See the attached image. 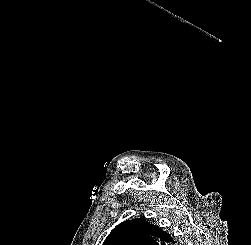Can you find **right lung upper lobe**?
Instances as JSON below:
<instances>
[{"label": "right lung upper lobe", "instance_id": "right-lung-upper-lobe-1", "mask_svg": "<svg viewBox=\"0 0 251 245\" xmlns=\"http://www.w3.org/2000/svg\"><path fill=\"white\" fill-rule=\"evenodd\" d=\"M173 238L143 218L127 220L108 235L103 245H170Z\"/></svg>", "mask_w": 251, "mask_h": 245}]
</instances>
